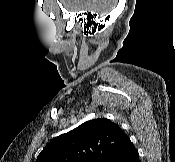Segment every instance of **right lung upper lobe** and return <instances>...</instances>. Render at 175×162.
I'll list each match as a JSON object with an SVG mask.
<instances>
[{"label": "right lung upper lobe", "instance_id": "cb5924a9", "mask_svg": "<svg viewBox=\"0 0 175 162\" xmlns=\"http://www.w3.org/2000/svg\"><path fill=\"white\" fill-rule=\"evenodd\" d=\"M132 147L117 124L98 118L53 139L36 162H112Z\"/></svg>", "mask_w": 175, "mask_h": 162}]
</instances>
